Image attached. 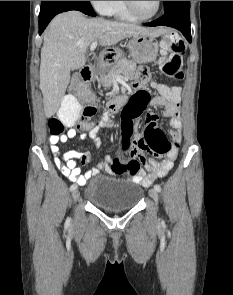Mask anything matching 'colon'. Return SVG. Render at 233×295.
Instances as JSON below:
<instances>
[{
  "mask_svg": "<svg viewBox=\"0 0 233 295\" xmlns=\"http://www.w3.org/2000/svg\"><path fill=\"white\" fill-rule=\"evenodd\" d=\"M164 47L171 53L169 57L160 61L162 72L168 77L181 79L182 56L186 51L183 39L176 33H168L163 39ZM159 94L167 97L180 95V87L155 84ZM83 103V108L79 102ZM97 108L93 94L88 86V81L83 77H76L71 85L70 92L65 97L62 106L58 111V117L48 122L50 133L58 136L63 132L64 123L71 124L81 116V123L91 127V118L96 114ZM134 123L127 112L123 115V148L130 151V158L124 162L115 159L111 169L115 174L136 175L141 164L146 162V154L154 156L167 155L172 149V141L158 127L147 126L140 135H133Z\"/></svg>",
  "mask_w": 233,
  "mask_h": 295,
  "instance_id": "obj_1",
  "label": "colon"
}]
</instances>
